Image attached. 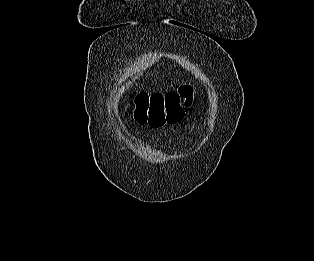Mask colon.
<instances>
[{"mask_svg": "<svg viewBox=\"0 0 314 261\" xmlns=\"http://www.w3.org/2000/svg\"><path fill=\"white\" fill-rule=\"evenodd\" d=\"M192 93L189 85H183L178 90L165 94L139 93L135 97V118L138 123L153 128L177 123L183 117L184 108L191 105Z\"/></svg>", "mask_w": 314, "mask_h": 261, "instance_id": "obj_1", "label": "colon"}]
</instances>
